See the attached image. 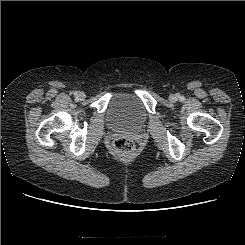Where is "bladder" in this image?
<instances>
[{"label": "bladder", "mask_w": 245, "mask_h": 245, "mask_svg": "<svg viewBox=\"0 0 245 245\" xmlns=\"http://www.w3.org/2000/svg\"><path fill=\"white\" fill-rule=\"evenodd\" d=\"M108 120L122 128L136 129L147 119V114L140 100L130 93L115 96L108 108Z\"/></svg>", "instance_id": "31cf9c89"}]
</instances>
